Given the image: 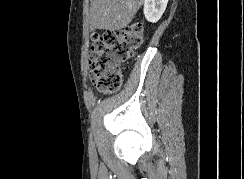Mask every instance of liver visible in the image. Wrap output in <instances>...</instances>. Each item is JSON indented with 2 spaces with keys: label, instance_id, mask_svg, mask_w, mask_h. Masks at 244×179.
Returning <instances> with one entry per match:
<instances>
[{
  "label": "liver",
  "instance_id": "obj_1",
  "mask_svg": "<svg viewBox=\"0 0 244 179\" xmlns=\"http://www.w3.org/2000/svg\"><path fill=\"white\" fill-rule=\"evenodd\" d=\"M91 28L97 30H122L126 28L143 0H90Z\"/></svg>",
  "mask_w": 244,
  "mask_h": 179
}]
</instances>
